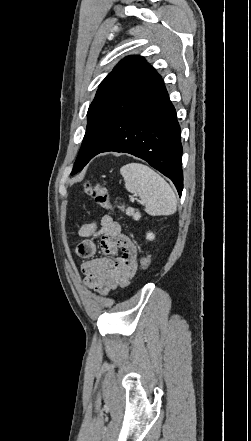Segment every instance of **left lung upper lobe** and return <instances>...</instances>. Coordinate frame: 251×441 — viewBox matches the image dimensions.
Wrapping results in <instances>:
<instances>
[{
  "instance_id": "5c2ea615",
  "label": "left lung upper lobe",
  "mask_w": 251,
  "mask_h": 441,
  "mask_svg": "<svg viewBox=\"0 0 251 441\" xmlns=\"http://www.w3.org/2000/svg\"><path fill=\"white\" fill-rule=\"evenodd\" d=\"M161 76L141 56H128L121 60L100 83L87 117L86 131L102 116L128 114L135 102L148 92ZM84 141L74 164L72 175L80 171L85 161Z\"/></svg>"
}]
</instances>
